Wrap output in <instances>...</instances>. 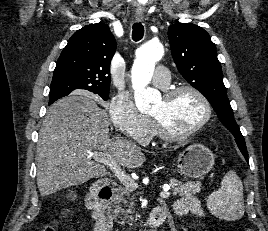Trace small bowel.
<instances>
[{"label":"small bowel","instance_id":"1","mask_svg":"<svg viewBox=\"0 0 268 231\" xmlns=\"http://www.w3.org/2000/svg\"><path fill=\"white\" fill-rule=\"evenodd\" d=\"M173 209L179 215L186 213H192L197 216L203 215L201 203L195 196H186L177 200L173 205ZM163 212L165 214V211Z\"/></svg>","mask_w":268,"mask_h":231}]
</instances>
